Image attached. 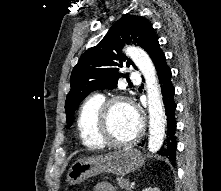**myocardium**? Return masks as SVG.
Returning a JSON list of instances; mask_svg holds the SVG:
<instances>
[{
  "label": "myocardium",
  "instance_id": "myocardium-1",
  "mask_svg": "<svg viewBox=\"0 0 221 191\" xmlns=\"http://www.w3.org/2000/svg\"><path fill=\"white\" fill-rule=\"evenodd\" d=\"M120 104L132 108L137 114L139 119V126L137 131L132 136V138L125 141L116 140L112 137L111 134V126H110L111 113L113 108ZM143 132H144L143 119L140 115V111L137 105L134 103V101L131 98L126 96H113L103 102V104L99 109V114H98V135L101 140V143L104 146L117 147V148L131 146L140 139Z\"/></svg>",
  "mask_w": 221,
  "mask_h": 191
}]
</instances>
